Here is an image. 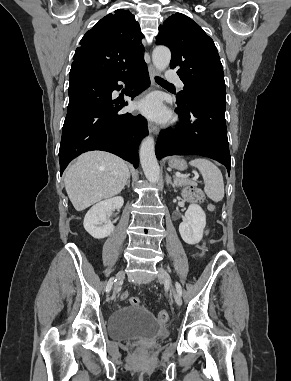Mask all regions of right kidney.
<instances>
[{
	"label": "right kidney",
	"mask_w": 291,
	"mask_h": 381,
	"mask_svg": "<svg viewBox=\"0 0 291 381\" xmlns=\"http://www.w3.org/2000/svg\"><path fill=\"white\" fill-rule=\"evenodd\" d=\"M123 203V198L117 196L95 204L85 215V230L96 239L109 236L114 231V225L108 216L112 210H120Z\"/></svg>",
	"instance_id": "obj_1"
}]
</instances>
